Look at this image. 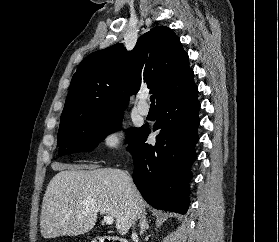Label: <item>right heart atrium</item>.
Instances as JSON below:
<instances>
[{
  "label": "right heart atrium",
  "instance_id": "1",
  "mask_svg": "<svg viewBox=\"0 0 279 242\" xmlns=\"http://www.w3.org/2000/svg\"><path fill=\"white\" fill-rule=\"evenodd\" d=\"M127 128L121 121L109 125L101 134L98 142L99 149L106 155L120 152L126 142Z\"/></svg>",
  "mask_w": 279,
  "mask_h": 242
}]
</instances>
